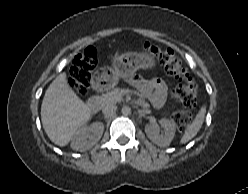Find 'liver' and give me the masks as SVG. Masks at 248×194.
<instances>
[{
  "mask_svg": "<svg viewBox=\"0 0 248 194\" xmlns=\"http://www.w3.org/2000/svg\"><path fill=\"white\" fill-rule=\"evenodd\" d=\"M91 115L88 106L68 87L65 74H59L47 88L41 105V121L49 139L66 146Z\"/></svg>",
  "mask_w": 248,
  "mask_h": 194,
  "instance_id": "liver-1",
  "label": "liver"
}]
</instances>
